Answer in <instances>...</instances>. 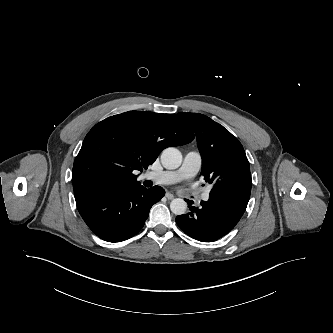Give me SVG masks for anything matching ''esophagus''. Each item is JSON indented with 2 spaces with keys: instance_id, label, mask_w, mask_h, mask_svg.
I'll return each instance as SVG.
<instances>
[{
  "instance_id": "1",
  "label": "esophagus",
  "mask_w": 333,
  "mask_h": 333,
  "mask_svg": "<svg viewBox=\"0 0 333 333\" xmlns=\"http://www.w3.org/2000/svg\"><path fill=\"white\" fill-rule=\"evenodd\" d=\"M165 197H166L168 200H172L175 196H174L172 193L167 192V193L165 194Z\"/></svg>"
}]
</instances>
